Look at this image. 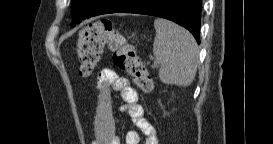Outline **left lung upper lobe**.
Instances as JSON below:
<instances>
[{
    "label": "left lung upper lobe",
    "mask_w": 273,
    "mask_h": 144,
    "mask_svg": "<svg viewBox=\"0 0 273 144\" xmlns=\"http://www.w3.org/2000/svg\"><path fill=\"white\" fill-rule=\"evenodd\" d=\"M91 2H89L87 5H85V1L83 0H72V15L77 13V12H80V11H84L85 9L87 8H91L94 4V2L96 0H90Z\"/></svg>",
    "instance_id": "1"
}]
</instances>
